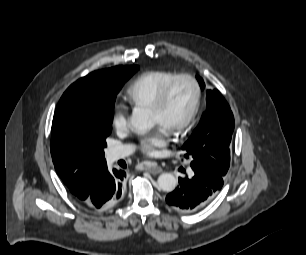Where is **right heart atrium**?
<instances>
[{"mask_svg":"<svg viewBox=\"0 0 306 255\" xmlns=\"http://www.w3.org/2000/svg\"><path fill=\"white\" fill-rule=\"evenodd\" d=\"M112 125L119 132L127 131L130 128V119L122 111H115L112 115Z\"/></svg>","mask_w":306,"mask_h":255,"instance_id":"d8ad5b80","label":"right heart atrium"}]
</instances>
